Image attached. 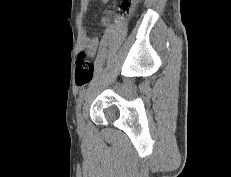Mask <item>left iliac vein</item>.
Wrapping results in <instances>:
<instances>
[{"mask_svg":"<svg viewBox=\"0 0 231 177\" xmlns=\"http://www.w3.org/2000/svg\"><path fill=\"white\" fill-rule=\"evenodd\" d=\"M77 128L79 130L84 129V110H83V108L80 109L78 114H77Z\"/></svg>","mask_w":231,"mask_h":177,"instance_id":"1","label":"left iliac vein"}]
</instances>
